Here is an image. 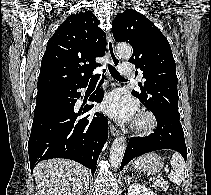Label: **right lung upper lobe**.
Listing matches in <instances>:
<instances>
[{
	"label": "right lung upper lobe",
	"mask_w": 211,
	"mask_h": 195,
	"mask_svg": "<svg viewBox=\"0 0 211 195\" xmlns=\"http://www.w3.org/2000/svg\"><path fill=\"white\" fill-rule=\"evenodd\" d=\"M91 11L70 15L48 40L41 62L38 93L52 88L84 83L99 66L96 57L105 53L104 32Z\"/></svg>",
	"instance_id": "obj_1"
}]
</instances>
